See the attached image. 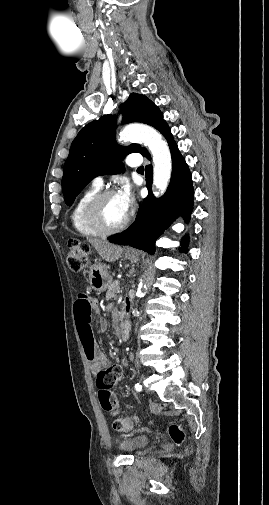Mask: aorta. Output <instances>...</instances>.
Returning <instances> with one entry per match:
<instances>
[{"label":"aorta","instance_id":"obj_1","mask_svg":"<svg viewBox=\"0 0 269 505\" xmlns=\"http://www.w3.org/2000/svg\"><path fill=\"white\" fill-rule=\"evenodd\" d=\"M123 142L139 141L146 145L153 156V186L155 196H161L167 189L172 170L171 153L162 136L152 127L147 125H129L120 132ZM142 280L139 283L137 296L141 293Z\"/></svg>","mask_w":269,"mask_h":505}]
</instances>
